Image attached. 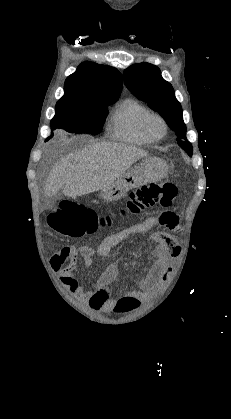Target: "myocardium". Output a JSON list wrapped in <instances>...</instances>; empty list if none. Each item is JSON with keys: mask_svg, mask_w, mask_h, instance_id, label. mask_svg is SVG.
<instances>
[{"mask_svg": "<svg viewBox=\"0 0 231 419\" xmlns=\"http://www.w3.org/2000/svg\"><path fill=\"white\" fill-rule=\"evenodd\" d=\"M152 119H158L161 122L162 126H163V132L159 136H154L150 132V130H149V122ZM142 130H143V133L146 135V137L149 140H151V141H158V140H161L162 138H164L165 135L167 134V132H168V124H167L165 118L162 115H160L159 113L150 112V113H148L144 117V119L142 121Z\"/></svg>", "mask_w": 231, "mask_h": 419, "instance_id": "myocardium-1", "label": "myocardium"}]
</instances>
